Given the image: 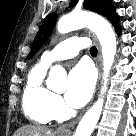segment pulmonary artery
<instances>
[{
    "mask_svg": "<svg viewBox=\"0 0 136 136\" xmlns=\"http://www.w3.org/2000/svg\"><path fill=\"white\" fill-rule=\"evenodd\" d=\"M89 46L87 38L71 37L57 44L53 49L43 53L41 61L46 65L54 62L72 58L76 56L81 49Z\"/></svg>",
    "mask_w": 136,
    "mask_h": 136,
    "instance_id": "1",
    "label": "pulmonary artery"
}]
</instances>
